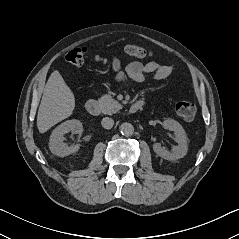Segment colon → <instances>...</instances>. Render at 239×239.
<instances>
[{"label": "colon", "mask_w": 239, "mask_h": 239, "mask_svg": "<svg viewBox=\"0 0 239 239\" xmlns=\"http://www.w3.org/2000/svg\"><path fill=\"white\" fill-rule=\"evenodd\" d=\"M126 51L129 55L140 59H146L151 56L149 50L136 45L128 46L126 48ZM87 56H88L87 47L75 48L67 53L66 62L70 66H81L84 63ZM174 107L177 115L181 119L188 122L194 120L197 110L194 103L190 101H177Z\"/></svg>", "instance_id": "colon-1"}]
</instances>
